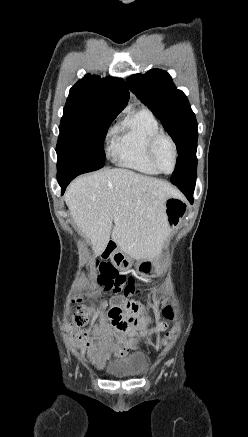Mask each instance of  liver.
<instances>
[{"instance_id": "liver-1", "label": "liver", "mask_w": 248, "mask_h": 437, "mask_svg": "<svg viewBox=\"0 0 248 437\" xmlns=\"http://www.w3.org/2000/svg\"><path fill=\"white\" fill-rule=\"evenodd\" d=\"M178 196L168 182L116 168L75 179L64 199L95 255L105 250L112 232L122 252L147 260L168 238L166 200Z\"/></svg>"}]
</instances>
